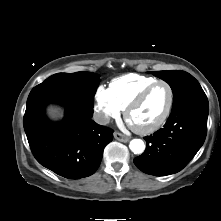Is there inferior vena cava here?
I'll list each match as a JSON object with an SVG mask.
<instances>
[{
	"label": "inferior vena cava",
	"mask_w": 221,
	"mask_h": 221,
	"mask_svg": "<svg viewBox=\"0 0 221 221\" xmlns=\"http://www.w3.org/2000/svg\"><path fill=\"white\" fill-rule=\"evenodd\" d=\"M93 120L100 125H106L109 123L110 118L106 114L98 112L93 114Z\"/></svg>",
	"instance_id": "602c4592"
}]
</instances>
